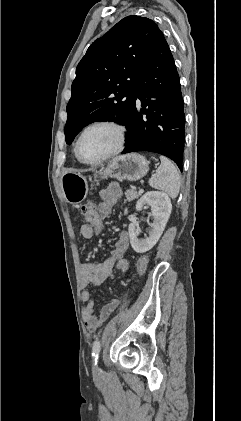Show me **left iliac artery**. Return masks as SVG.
<instances>
[{
    "mask_svg": "<svg viewBox=\"0 0 241 421\" xmlns=\"http://www.w3.org/2000/svg\"><path fill=\"white\" fill-rule=\"evenodd\" d=\"M100 348H101V343L97 339V340L94 341L93 347H92V357L94 358L95 364H97Z\"/></svg>",
    "mask_w": 241,
    "mask_h": 421,
    "instance_id": "44dca946",
    "label": "left iliac artery"
}]
</instances>
